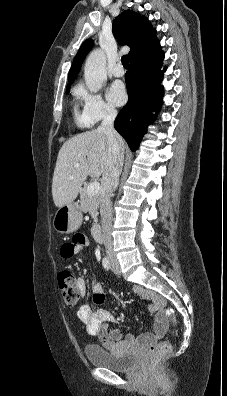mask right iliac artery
Instances as JSON below:
<instances>
[{
	"label": "right iliac artery",
	"mask_w": 227,
	"mask_h": 396,
	"mask_svg": "<svg viewBox=\"0 0 227 396\" xmlns=\"http://www.w3.org/2000/svg\"><path fill=\"white\" fill-rule=\"evenodd\" d=\"M102 264H103V267H104L106 270H109V269L111 268L110 261H109V259H108L107 257H104V258H103Z\"/></svg>",
	"instance_id": "obj_1"
}]
</instances>
